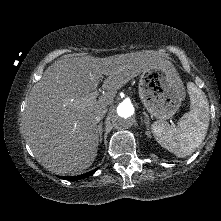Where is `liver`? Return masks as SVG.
<instances>
[{"mask_svg": "<svg viewBox=\"0 0 221 221\" xmlns=\"http://www.w3.org/2000/svg\"><path fill=\"white\" fill-rule=\"evenodd\" d=\"M156 67L173 65L143 52L66 57L51 64L33 86L23 118L26 140L38 162L57 174L90 167L99 144L98 111L112 104L117 90L127 82ZM102 75L107 76L102 85L106 92L87 103Z\"/></svg>", "mask_w": 221, "mask_h": 221, "instance_id": "6515ba94", "label": "liver"}]
</instances>
